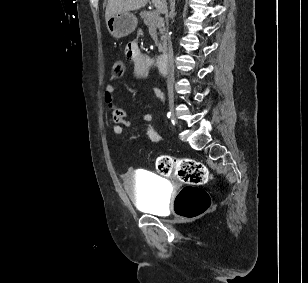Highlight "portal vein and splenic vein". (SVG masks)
I'll return each mask as SVG.
<instances>
[{"mask_svg":"<svg viewBox=\"0 0 308 283\" xmlns=\"http://www.w3.org/2000/svg\"><path fill=\"white\" fill-rule=\"evenodd\" d=\"M157 10H160L158 6H156Z\"/></svg>","mask_w":308,"mask_h":283,"instance_id":"18ae733b","label":"portal vein and splenic vein"}]
</instances>
